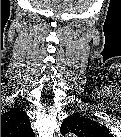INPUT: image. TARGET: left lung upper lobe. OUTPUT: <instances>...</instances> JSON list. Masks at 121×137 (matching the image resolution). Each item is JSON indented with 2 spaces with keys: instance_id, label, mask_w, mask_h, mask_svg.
Returning <instances> with one entry per match:
<instances>
[{
  "instance_id": "obj_1",
  "label": "left lung upper lobe",
  "mask_w": 121,
  "mask_h": 137,
  "mask_svg": "<svg viewBox=\"0 0 121 137\" xmlns=\"http://www.w3.org/2000/svg\"><path fill=\"white\" fill-rule=\"evenodd\" d=\"M61 133L66 134L67 132H75L77 134H86L92 136H108L110 135L109 130L93 119L75 113L64 120L61 125Z\"/></svg>"
}]
</instances>
